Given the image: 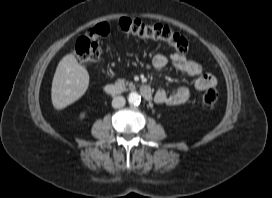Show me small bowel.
I'll return each instance as SVG.
<instances>
[{
  "instance_id": "obj_1",
  "label": "small bowel",
  "mask_w": 272,
  "mask_h": 198,
  "mask_svg": "<svg viewBox=\"0 0 272 198\" xmlns=\"http://www.w3.org/2000/svg\"><path fill=\"white\" fill-rule=\"evenodd\" d=\"M152 66L155 69H163L171 65L175 69L193 77V86L198 91H203L216 86L215 76L203 71L202 66L190 59L188 56L180 53H171L169 56L158 53L152 59ZM191 97V89L187 86H181L167 92L163 89L155 93L156 103L167 106H178L186 103Z\"/></svg>"
}]
</instances>
